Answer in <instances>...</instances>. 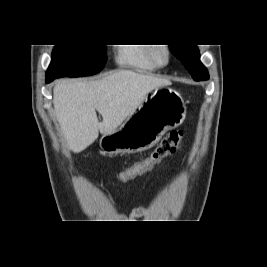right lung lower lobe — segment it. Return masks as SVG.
<instances>
[{"label":"right lung lower lobe","instance_id":"obj_1","mask_svg":"<svg viewBox=\"0 0 267 267\" xmlns=\"http://www.w3.org/2000/svg\"><path fill=\"white\" fill-rule=\"evenodd\" d=\"M54 79H56L55 77H49L46 78V83H50L51 81H53Z\"/></svg>","mask_w":267,"mask_h":267}]
</instances>
